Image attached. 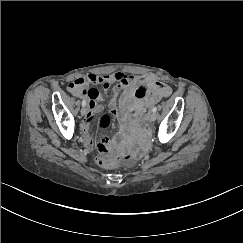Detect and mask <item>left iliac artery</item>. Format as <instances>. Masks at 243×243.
Instances as JSON below:
<instances>
[{
	"label": "left iliac artery",
	"instance_id": "left-iliac-artery-1",
	"mask_svg": "<svg viewBox=\"0 0 243 243\" xmlns=\"http://www.w3.org/2000/svg\"><path fill=\"white\" fill-rule=\"evenodd\" d=\"M156 111H157V108L154 107V108L152 109V112L155 113Z\"/></svg>",
	"mask_w": 243,
	"mask_h": 243
}]
</instances>
